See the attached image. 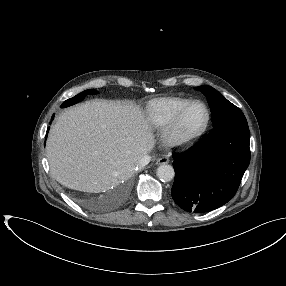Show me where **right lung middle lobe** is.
Returning a JSON list of instances; mask_svg holds the SVG:
<instances>
[{
    "label": "right lung middle lobe",
    "instance_id": "obj_1",
    "mask_svg": "<svg viewBox=\"0 0 286 286\" xmlns=\"http://www.w3.org/2000/svg\"><path fill=\"white\" fill-rule=\"evenodd\" d=\"M96 93H97V91L94 89L85 90V91L79 93L78 95L74 96L73 98H70V99L66 100L65 102H63L61 107L65 108V107L71 106L73 104H76V103L82 101L85 96L91 95V94H96Z\"/></svg>",
    "mask_w": 286,
    "mask_h": 286
}]
</instances>
